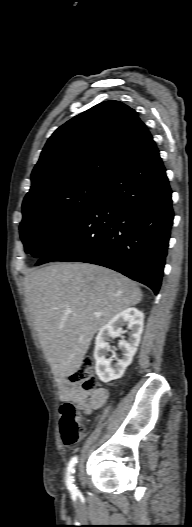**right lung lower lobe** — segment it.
<instances>
[{"label": "right lung lower lobe", "mask_w": 192, "mask_h": 527, "mask_svg": "<svg viewBox=\"0 0 192 527\" xmlns=\"http://www.w3.org/2000/svg\"><path fill=\"white\" fill-rule=\"evenodd\" d=\"M152 141L103 187L84 216L36 263L86 262L158 293L173 223L171 189Z\"/></svg>", "instance_id": "obj_1"}]
</instances>
